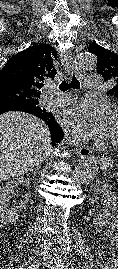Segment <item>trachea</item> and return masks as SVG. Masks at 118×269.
I'll return each mask as SVG.
<instances>
[{
	"label": "trachea",
	"mask_w": 118,
	"mask_h": 269,
	"mask_svg": "<svg viewBox=\"0 0 118 269\" xmlns=\"http://www.w3.org/2000/svg\"><path fill=\"white\" fill-rule=\"evenodd\" d=\"M70 88H73V89L80 88V82L77 80L75 75L71 77L70 81L64 79V81L59 85V89L63 92L67 91Z\"/></svg>",
	"instance_id": "3493384b"
}]
</instances>
